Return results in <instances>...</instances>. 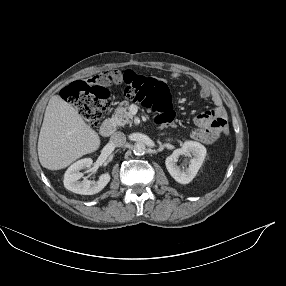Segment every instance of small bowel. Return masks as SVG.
<instances>
[{
    "instance_id": "c3829d8e",
    "label": "small bowel",
    "mask_w": 286,
    "mask_h": 286,
    "mask_svg": "<svg viewBox=\"0 0 286 286\" xmlns=\"http://www.w3.org/2000/svg\"><path fill=\"white\" fill-rule=\"evenodd\" d=\"M171 76L173 78H179L181 74L176 71V72H173ZM199 86H200V91H199L200 96L204 99H211L215 107L213 109L201 112L197 116L205 115L208 113H213V114L218 115L226 124V111L223 107V102H222V98L220 94L217 91H215L209 84L205 82H201ZM157 121L159 123H165V122H160L159 120ZM205 143H208V142L205 141ZM208 144H211V143H208Z\"/></svg>"
}]
</instances>
